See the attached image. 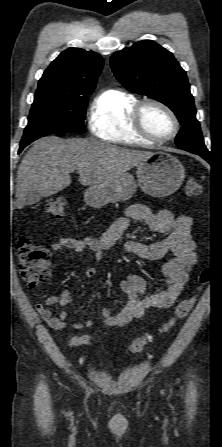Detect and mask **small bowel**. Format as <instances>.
<instances>
[{
	"label": "small bowel",
	"mask_w": 222,
	"mask_h": 447,
	"mask_svg": "<svg viewBox=\"0 0 222 447\" xmlns=\"http://www.w3.org/2000/svg\"><path fill=\"white\" fill-rule=\"evenodd\" d=\"M133 220L144 222L151 231L166 233L168 236L165 240L152 245L127 241L123 245L127 253L145 260H157L170 251L174 254V258L165 263L161 270L166 284L164 290L144 296L145 281L137 274H128L120 282V288L126 297V304L116 314L107 308L101 310L103 324L107 327H123L132 319L142 317L148 310L167 309L174 304L188 282L190 272L197 261V246L191 235L193 224L191 216L187 214L176 216L168 209L154 212L144 204H134L126 210L124 216L113 222L101 238L64 236L51 244V250L56 253L64 250L78 253L90 250L100 261L121 238ZM84 271L88 279H94L97 276V269L92 265L85 266ZM73 299L74 292L65 289L46 301L37 303L35 309L50 328L64 331L70 327L67 321V311L61 310L57 316H54L48 306L52 303L68 306ZM93 325L92 320H87L84 323H74L71 327L80 330ZM93 343L94 340L89 335H76L70 339L72 346L92 345Z\"/></svg>",
	"instance_id": "1"
}]
</instances>
